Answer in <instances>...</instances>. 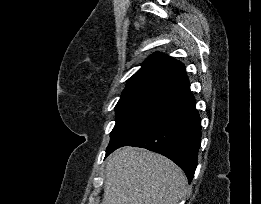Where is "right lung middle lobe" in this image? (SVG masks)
Returning a JSON list of instances; mask_svg holds the SVG:
<instances>
[{
    "label": "right lung middle lobe",
    "mask_w": 261,
    "mask_h": 204,
    "mask_svg": "<svg viewBox=\"0 0 261 204\" xmlns=\"http://www.w3.org/2000/svg\"><path fill=\"white\" fill-rule=\"evenodd\" d=\"M167 96L168 94L156 92L122 95L115 107L116 124L110 134L107 150L112 148L128 131L151 113Z\"/></svg>",
    "instance_id": "dd1d6c3e"
}]
</instances>
